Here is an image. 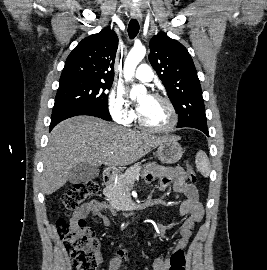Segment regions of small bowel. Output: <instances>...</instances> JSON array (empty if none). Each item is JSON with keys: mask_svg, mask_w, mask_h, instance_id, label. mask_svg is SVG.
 Returning a JSON list of instances; mask_svg holds the SVG:
<instances>
[{"mask_svg": "<svg viewBox=\"0 0 267 270\" xmlns=\"http://www.w3.org/2000/svg\"><path fill=\"white\" fill-rule=\"evenodd\" d=\"M144 178L147 182L158 179L160 181L159 188L161 190H165L170 185H173L174 191L184 196V201L180 206V215L187 216V218L179 228L180 239L175 250L185 248L193 234L195 224L200 222L204 215L196 186L187 181L186 173L180 167L166 168L158 165H150L144 173ZM108 209L109 206L106 202L91 200L82 205L74 213L71 221L77 222L85 220L89 214H92L99 217L103 225L108 227L110 226V221L103 213ZM125 257V252L121 249L118 250L116 257H113L110 261V270H119L120 259H124ZM169 262L170 258L157 257L153 261V270H168Z\"/></svg>", "mask_w": 267, "mask_h": 270, "instance_id": "c3829d8e", "label": "small bowel"}]
</instances>
